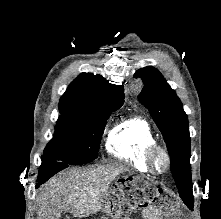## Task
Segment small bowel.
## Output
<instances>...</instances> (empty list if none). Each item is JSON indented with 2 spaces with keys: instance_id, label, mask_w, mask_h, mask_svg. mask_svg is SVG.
I'll return each mask as SVG.
<instances>
[{
  "instance_id": "small-bowel-1",
  "label": "small bowel",
  "mask_w": 221,
  "mask_h": 219,
  "mask_svg": "<svg viewBox=\"0 0 221 219\" xmlns=\"http://www.w3.org/2000/svg\"><path fill=\"white\" fill-rule=\"evenodd\" d=\"M145 219H154V209L152 207L144 210Z\"/></svg>"
}]
</instances>
